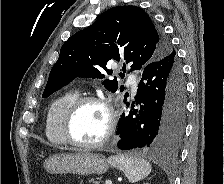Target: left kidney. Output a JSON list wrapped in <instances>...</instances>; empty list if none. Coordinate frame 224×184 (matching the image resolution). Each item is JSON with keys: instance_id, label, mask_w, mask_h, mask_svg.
Masks as SVG:
<instances>
[{"instance_id": "obj_1", "label": "left kidney", "mask_w": 224, "mask_h": 184, "mask_svg": "<svg viewBox=\"0 0 224 184\" xmlns=\"http://www.w3.org/2000/svg\"><path fill=\"white\" fill-rule=\"evenodd\" d=\"M143 184H150V183L147 182V183H143Z\"/></svg>"}]
</instances>
